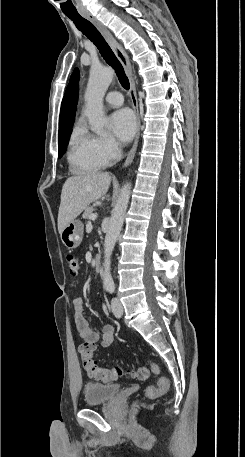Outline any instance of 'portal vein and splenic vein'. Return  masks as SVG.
<instances>
[{
	"instance_id": "obj_1",
	"label": "portal vein and splenic vein",
	"mask_w": 245,
	"mask_h": 457,
	"mask_svg": "<svg viewBox=\"0 0 245 457\" xmlns=\"http://www.w3.org/2000/svg\"><path fill=\"white\" fill-rule=\"evenodd\" d=\"M90 218L91 220H95V218H97V212H95V214H91Z\"/></svg>"
}]
</instances>
